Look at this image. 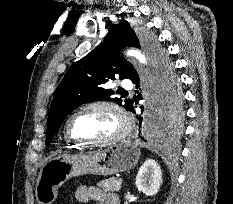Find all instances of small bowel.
Here are the masks:
<instances>
[{"label":"small bowel","instance_id":"c3829d8e","mask_svg":"<svg viewBox=\"0 0 233 204\" xmlns=\"http://www.w3.org/2000/svg\"><path fill=\"white\" fill-rule=\"evenodd\" d=\"M75 197L79 202H93L94 204H119L116 194L105 192L93 186H81L77 188Z\"/></svg>","mask_w":233,"mask_h":204}]
</instances>
